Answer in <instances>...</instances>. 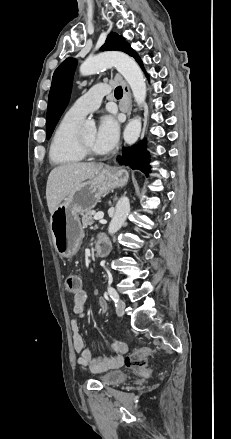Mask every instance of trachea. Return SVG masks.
I'll return each instance as SVG.
<instances>
[{
  "instance_id": "1",
  "label": "trachea",
  "mask_w": 231,
  "mask_h": 439,
  "mask_svg": "<svg viewBox=\"0 0 231 439\" xmlns=\"http://www.w3.org/2000/svg\"><path fill=\"white\" fill-rule=\"evenodd\" d=\"M114 95H115V97H116L117 99L122 98V96H123V90H122V87H121V86H118V87L115 89Z\"/></svg>"
}]
</instances>
